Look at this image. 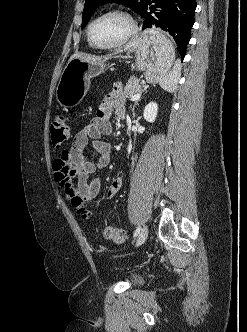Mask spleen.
<instances>
[{
  "mask_svg": "<svg viewBox=\"0 0 247 332\" xmlns=\"http://www.w3.org/2000/svg\"><path fill=\"white\" fill-rule=\"evenodd\" d=\"M181 64L179 61L175 63L173 69L159 80V85L162 89L168 92H175L178 86V79L180 77Z\"/></svg>",
  "mask_w": 247,
  "mask_h": 332,
  "instance_id": "1",
  "label": "spleen"
}]
</instances>
